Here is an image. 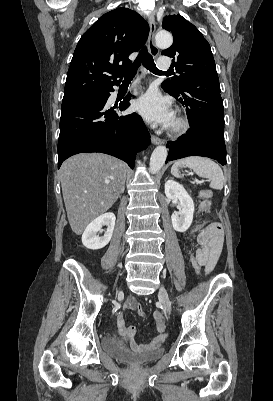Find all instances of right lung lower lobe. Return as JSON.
<instances>
[{"label":"right lung lower lobe","mask_w":273,"mask_h":401,"mask_svg":"<svg viewBox=\"0 0 273 401\" xmlns=\"http://www.w3.org/2000/svg\"><path fill=\"white\" fill-rule=\"evenodd\" d=\"M113 86L101 91L100 98L82 100L62 108L58 168L65 159L82 152L110 154L134 168L136 151L147 148L150 134L137 113L118 115L130 106V95L109 109L107 100L109 92L114 91Z\"/></svg>","instance_id":"1"}]
</instances>
